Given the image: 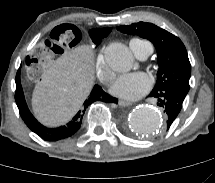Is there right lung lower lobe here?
I'll list each match as a JSON object with an SVG mask.
<instances>
[{"label":"right lung lower lobe","mask_w":215,"mask_h":183,"mask_svg":"<svg viewBox=\"0 0 215 183\" xmlns=\"http://www.w3.org/2000/svg\"><path fill=\"white\" fill-rule=\"evenodd\" d=\"M75 33L79 34V32ZM15 100L20 112L22 119L25 124L38 136L47 141H57L60 139H65L73 135L81 126L82 118L85 113V110L89 105L96 101H103L107 103H118V100L102 90L98 85H95L92 89L90 96L85 101L83 109L80 110L74 117L73 120L68 124L58 127V128H47L40 124L34 116L30 113L27 104L24 99V94L20 81V70H18L16 75V93Z\"/></svg>","instance_id":"right-lung-lower-lobe-1"}]
</instances>
